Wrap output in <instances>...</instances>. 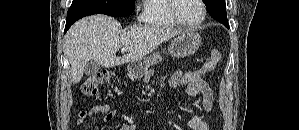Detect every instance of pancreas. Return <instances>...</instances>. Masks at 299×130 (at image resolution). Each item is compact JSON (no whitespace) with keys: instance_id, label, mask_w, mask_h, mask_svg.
Wrapping results in <instances>:
<instances>
[{"instance_id":"1","label":"pancreas","mask_w":299,"mask_h":130,"mask_svg":"<svg viewBox=\"0 0 299 130\" xmlns=\"http://www.w3.org/2000/svg\"><path fill=\"white\" fill-rule=\"evenodd\" d=\"M154 72H155L154 69H152V70H146L144 72V79H143L144 83H149L150 77L154 75Z\"/></svg>"}]
</instances>
